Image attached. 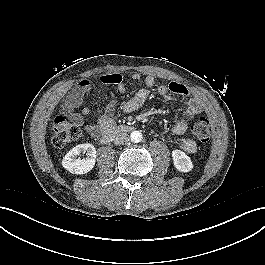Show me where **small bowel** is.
I'll list each match as a JSON object with an SVG mask.
<instances>
[{"instance_id": "1", "label": "small bowel", "mask_w": 265, "mask_h": 265, "mask_svg": "<svg viewBox=\"0 0 265 265\" xmlns=\"http://www.w3.org/2000/svg\"><path fill=\"white\" fill-rule=\"evenodd\" d=\"M132 79L138 81L141 79V75L139 73H134ZM104 81L116 85L119 93H125L126 86L120 74L108 75L105 77ZM144 85V88L138 90L132 98L121 105L122 112H134L148 100L150 91L155 85V78L152 75L146 76L144 78ZM89 86L90 83L88 80H80L77 86L68 93L64 101V108L68 112L69 117L78 124H82L83 116L88 115L91 111L89 107L84 106L80 112H76V109L79 108L87 98ZM157 92L166 100H172L173 95L183 98L182 102L185 106V111L183 116L173 124L171 135L173 137L184 135L188 130L191 120L203 112V104L197 98H189L187 88L181 83L171 82L169 84H161L157 87ZM114 124L115 121L111 113L104 112L98 116L96 124L88 125L86 129L87 132L94 137L100 132L112 129ZM180 147L190 154L195 153L197 149L195 141L187 137L181 138Z\"/></svg>"}]
</instances>
